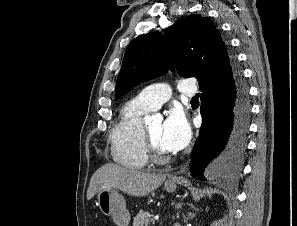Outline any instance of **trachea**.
<instances>
[{
    "instance_id": "1",
    "label": "trachea",
    "mask_w": 297,
    "mask_h": 226,
    "mask_svg": "<svg viewBox=\"0 0 297 226\" xmlns=\"http://www.w3.org/2000/svg\"><path fill=\"white\" fill-rule=\"evenodd\" d=\"M191 102H198V97H197V96L194 97V98L191 100Z\"/></svg>"
}]
</instances>
